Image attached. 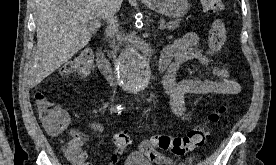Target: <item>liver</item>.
Segmentation results:
<instances>
[{"label": "liver", "instance_id": "liver-1", "mask_svg": "<svg viewBox=\"0 0 276 165\" xmlns=\"http://www.w3.org/2000/svg\"><path fill=\"white\" fill-rule=\"evenodd\" d=\"M123 0H36L37 50L28 85L37 86L84 48L91 23L116 13Z\"/></svg>", "mask_w": 276, "mask_h": 165}]
</instances>
